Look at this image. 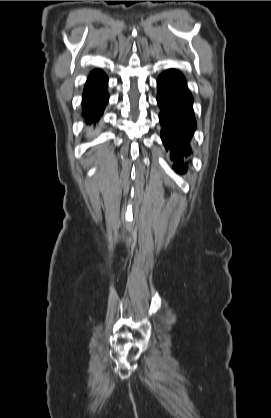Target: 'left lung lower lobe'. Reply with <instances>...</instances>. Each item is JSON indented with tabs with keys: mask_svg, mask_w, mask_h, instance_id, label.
I'll return each instance as SVG.
<instances>
[{
	"mask_svg": "<svg viewBox=\"0 0 271 418\" xmlns=\"http://www.w3.org/2000/svg\"><path fill=\"white\" fill-rule=\"evenodd\" d=\"M157 87L161 139L166 150H171L173 169L183 174L187 167L182 159L190 154L189 142L196 129L193 97L185 77L175 69L164 71L157 80Z\"/></svg>",
	"mask_w": 271,
	"mask_h": 418,
	"instance_id": "1",
	"label": "left lung lower lobe"
}]
</instances>
